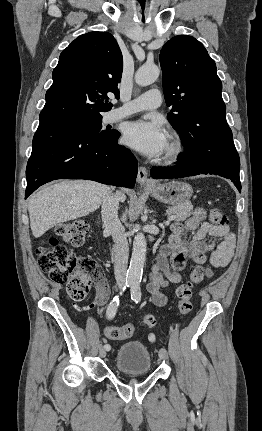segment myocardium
<instances>
[{"label":"myocardium","mask_w":262,"mask_h":431,"mask_svg":"<svg viewBox=\"0 0 262 431\" xmlns=\"http://www.w3.org/2000/svg\"><path fill=\"white\" fill-rule=\"evenodd\" d=\"M187 151L184 140L177 133H170L169 147L162 154L160 163L170 165L179 162Z\"/></svg>","instance_id":"1"}]
</instances>
